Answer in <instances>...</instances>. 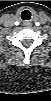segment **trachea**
I'll return each mask as SVG.
<instances>
[{"label":"trachea","mask_w":51,"mask_h":101,"mask_svg":"<svg viewBox=\"0 0 51 101\" xmlns=\"http://www.w3.org/2000/svg\"><path fill=\"white\" fill-rule=\"evenodd\" d=\"M21 18L23 20H30L31 19V12L28 11V10H24L22 13H21Z\"/></svg>","instance_id":"trachea-1"}]
</instances>
